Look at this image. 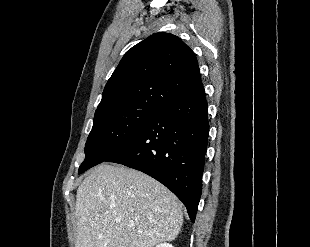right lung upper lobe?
<instances>
[{
  "label": "right lung upper lobe",
  "instance_id": "1",
  "mask_svg": "<svg viewBox=\"0 0 310 247\" xmlns=\"http://www.w3.org/2000/svg\"><path fill=\"white\" fill-rule=\"evenodd\" d=\"M202 87L194 52L178 37L157 33L125 53L94 117L136 106L160 110Z\"/></svg>",
  "mask_w": 310,
  "mask_h": 247
}]
</instances>
